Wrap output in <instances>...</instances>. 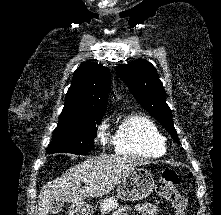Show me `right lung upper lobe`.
Wrapping results in <instances>:
<instances>
[{
  "label": "right lung upper lobe",
  "instance_id": "obj_1",
  "mask_svg": "<svg viewBox=\"0 0 221 215\" xmlns=\"http://www.w3.org/2000/svg\"><path fill=\"white\" fill-rule=\"evenodd\" d=\"M111 86L109 70L101 64L85 62L74 72L62 113L103 116Z\"/></svg>",
  "mask_w": 221,
  "mask_h": 215
}]
</instances>
